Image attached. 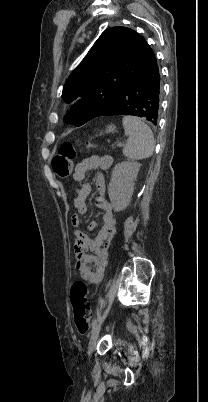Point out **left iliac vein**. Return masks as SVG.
<instances>
[{
	"mask_svg": "<svg viewBox=\"0 0 208 402\" xmlns=\"http://www.w3.org/2000/svg\"><path fill=\"white\" fill-rule=\"evenodd\" d=\"M100 329H101V323L99 322L96 324V326L91 334V338H90L89 345H88V355L89 356H91V354L94 351V348L96 346V342H97V339H98V336L100 333Z\"/></svg>",
	"mask_w": 208,
	"mask_h": 402,
	"instance_id": "obj_1",
	"label": "left iliac vein"
}]
</instances>
